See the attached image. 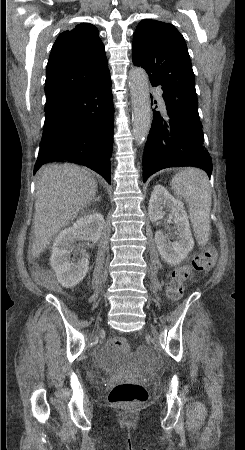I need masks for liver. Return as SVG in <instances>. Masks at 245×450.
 Segmentation results:
<instances>
[{
    "instance_id": "1",
    "label": "liver",
    "mask_w": 245,
    "mask_h": 450,
    "mask_svg": "<svg viewBox=\"0 0 245 450\" xmlns=\"http://www.w3.org/2000/svg\"><path fill=\"white\" fill-rule=\"evenodd\" d=\"M96 192V180L76 165L52 164L39 171L32 226L34 258L93 201Z\"/></svg>"
}]
</instances>
